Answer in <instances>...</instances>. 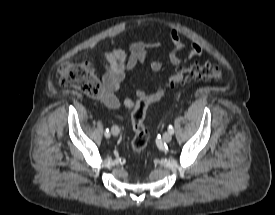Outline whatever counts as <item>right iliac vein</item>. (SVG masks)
<instances>
[{
	"label": "right iliac vein",
	"instance_id": "63e3f726",
	"mask_svg": "<svg viewBox=\"0 0 275 215\" xmlns=\"http://www.w3.org/2000/svg\"><path fill=\"white\" fill-rule=\"evenodd\" d=\"M119 132H120V130H119L118 126H116V125L112 126L111 133L113 134V136H118Z\"/></svg>",
	"mask_w": 275,
	"mask_h": 215
}]
</instances>
